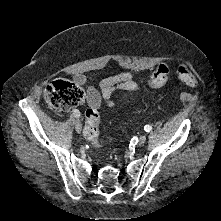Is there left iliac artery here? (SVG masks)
I'll return each instance as SVG.
<instances>
[{"label":"left iliac artery","instance_id":"left-iliac-artery-1","mask_svg":"<svg viewBox=\"0 0 221 221\" xmlns=\"http://www.w3.org/2000/svg\"><path fill=\"white\" fill-rule=\"evenodd\" d=\"M144 130H145L146 132H150V131L152 130V127H151L150 125H146V126L144 127Z\"/></svg>","mask_w":221,"mask_h":221}]
</instances>
